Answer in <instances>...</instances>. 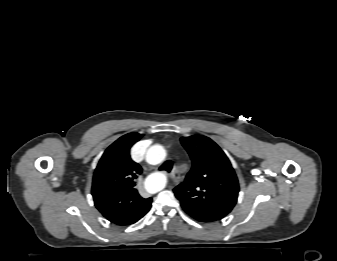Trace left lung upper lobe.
<instances>
[{
	"mask_svg": "<svg viewBox=\"0 0 337 261\" xmlns=\"http://www.w3.org/2000/svg\"><path fill=\"white\" fill-rule=\"evenodd\" d=\"M181 143L192 160L185 181L173 191L193 219L214 222L225 217L237 202L239 184L231 163L210 138L182 137Z\"/></svg>",
	"mask_w": 337,
	"mask_h": 261,
	"instance_id": "1",
	"label": "left lung upper lobe"
}]
</instances>
